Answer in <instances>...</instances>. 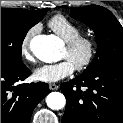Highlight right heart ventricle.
<instances>
[{
	"mask_svg": "<svg viewBox=\"0 0 123 123\" xmlns=\"http://www.w3.org/2000/svg\"><path fill=\"white\" fill-rule=\"evenodd\" d=\"M49 28L65 42L80 35L81 28L63 15H55L48 22Z\"/></svg>",
	"mask_w": 123,
	"mask_h": 123,
	"instance_id": "e07e8e85",
	"label": "right heart ventricle"
}]
</instances>
